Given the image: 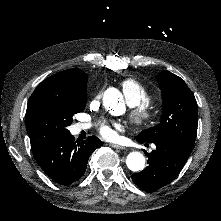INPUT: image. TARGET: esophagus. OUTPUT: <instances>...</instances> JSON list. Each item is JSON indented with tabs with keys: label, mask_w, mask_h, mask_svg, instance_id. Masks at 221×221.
Instances as JSON below:
<instances>
[{
	"label": "esophagus",
	"mask_w": 221,
	"mask_h": 221,
	"mask_svg": "<svg viewBox=\"0 0 221 221\" xmlns=\"http://www.w3.org/2000/svg\"><path fill=\"white\" fill-rule=\"evenodd\" d=\"M109 146L113 147V148H116V149H122V150L126 149V147H124L122 145L113 144V143L109 144Z\"/></svg>",
	"instance_id": "esophagus-1"
}]
</instances>
